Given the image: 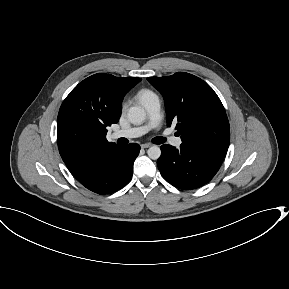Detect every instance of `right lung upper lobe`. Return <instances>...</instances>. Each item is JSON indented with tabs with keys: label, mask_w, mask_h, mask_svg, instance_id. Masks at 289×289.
<instances>
[{
	"label": "right lung upper lobe",
	"mask_w": 289,
	"mask_h": 289,
	"mask_svg": "<svg viewBox=\"0 0 289 289\" xmlns=\"http://www.w3.org/2000/svg\"><path fill=\"white\" fill-rule=\"evenodd\" d=\"M140 81L97 73L80 82L63 101L57 118V142L76 179L119 147L107 141V127L118 122L124 95Z\"/></svg>",
	"instance_id": "obj_1"
}]
</instances>
